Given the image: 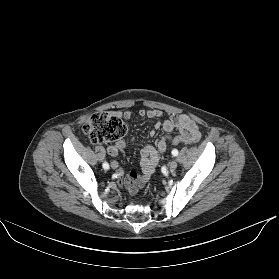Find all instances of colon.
<instances>
[{
    "mask_svg": "<svg viewBox=\"0 0 279 279\" xmlns=\"http://www.w3.org/2000/svg\"><path fill=\"white\" fill-rule=\"evenodd\" d=\"M83 131L93 144L117 141L126 133L124 122L115 114L109 112H97L91 115L83 126ZM172 144H193L185 137L176 136Z\"/></svg>",
    "mask_w": 279,
    "mask_h": 279,
    "instance_id": "1",
    "label": "colon"
}]
</instances>
